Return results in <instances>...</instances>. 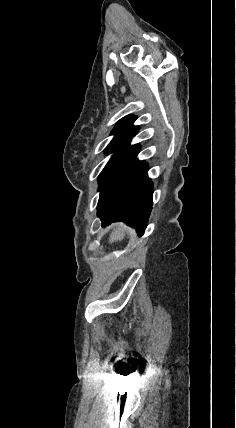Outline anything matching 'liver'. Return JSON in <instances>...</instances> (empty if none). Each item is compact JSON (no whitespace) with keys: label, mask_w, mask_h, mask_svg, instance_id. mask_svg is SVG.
<instances>
[{"label":"liver","mask_w":236,"mask_h":428,"mask_svg":"<svg viewBox=\"0 0 236 428\" xmlns=\"http://www.w3.org/2000/svg\"><path fill=\"white\" fill-rule=\"evenodd\" d=\"M129 228H126L124 224H116L112 234H110L109 242L113 244V242H122L124 240Z\"/></svg>","instance_id":"1"}]
</instances>
